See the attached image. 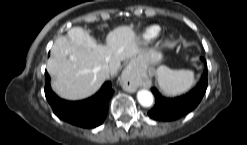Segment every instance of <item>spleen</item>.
Listing matches in <instances>:
<instances>
[{
  "mask_svg": "<svg viewBox=\"0 0 247 145\" xmlns=\"http://www.w3.org/2000/svg\"><path fill=\"white\" fill-rule=\"evenodd\" d=\"M157 80L161 91L168 96L184 94L195 85L193 71L173 70L164 65L157 69Z\"/></svg>",
  "mask_w": 247,
  "mask_h": 145,
  "instance_id": "1",
  "label": "spleen"
}]
</instances>
